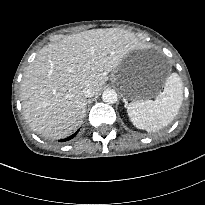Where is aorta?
Segmentation results:
<instances>
[{
	"label": "aorta",
	"instance_id": "762f6f07",
	"mask_svg": "<svg viewBox=\"0 0 205 205\" xmlns=\"http://www.w3.org/2000/svg\"><path fill=\"white\" fill-rule=\"evenodd\" d=\"M102 99L108 104H113L117 102V93L113 89H107L102 94Z\"/></svg>",
	"mask_w": 205,
	"mask_h": 205
}]
</instances>
